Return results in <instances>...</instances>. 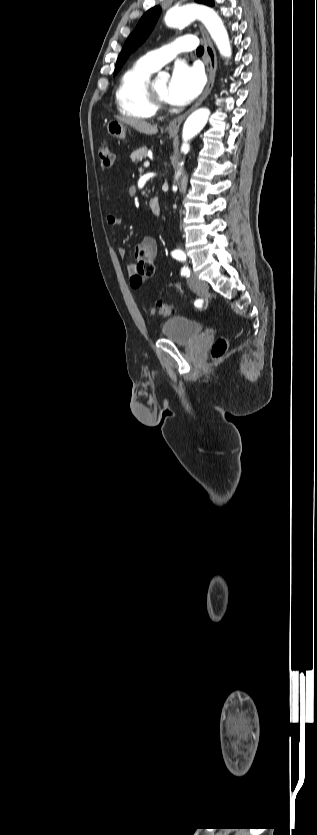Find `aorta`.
I'll return each instance as SVG.
<instances>
[{
	"mask_svg": "<svg viewBox=\"0 0 317 835\" xmlns=\"http://www.w3.org/2000/svg\"><path fill=\"white\" fill-rule=\"evenodd\" d=\"M195 19L200 20L205 25L211 38L215 42L220 55L225 58H230L232 55V50L230 46L228 32L223 24L222 19L213 9L201 5L187 4L180 7L169 8L164 13V21L167 25L170 26L188 25ZM159 77L167 80L169 75L166 73H160ZM209 116V109L200 108L194 111L186 119L182 133L183 144L181 147V151L183 153H188L190 149L188 141L195 137L206 126ZM178 175L179 172L177 176Z\"/></svg>",
	"mask_w": 317,
	"mask_h": 835,
	"instance_id": "aorta-1",
	"label": "aorta"
}]
</instances>
